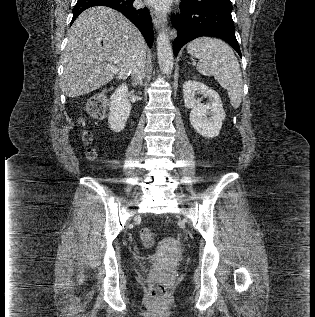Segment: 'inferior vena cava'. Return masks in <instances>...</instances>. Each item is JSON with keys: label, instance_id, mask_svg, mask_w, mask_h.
I'll use <instances>...</instances> for the list:
<instances>
[{"label": "inferior vena cava", "instance_id": "inferior-vena-cava-1", "mask_svg": "<svg viewBox=\"0 0 315 317\" xmlns=\"http://www.w3.org/2000/svg\"><path fill=\"white\" fill-rule=\"evenodd\" d=\"M145 63H146V53L144 50H139L133 58L131 64V75L136 84L142 81L145 76Z\"/></svg>", "mask_w": 315, "mask_h": 317}]
</instances>
